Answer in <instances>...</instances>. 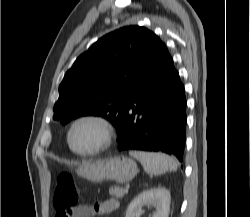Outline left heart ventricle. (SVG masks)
<instances>
[{"mask_svg":"<svg viewBox=\"0 0 250 217\" xmlns=\"http://www.w3.org/2000/svg\"><path fill=\"white\" fill-rule=\"evenodd\" d=\"M101 139L100 128L92 122H83L75 127L71 141L75 149L87 151L95 148Z\"/></svg>","mask_w":250,"mask_h":217,"instance_id":"left-heart-ventricle-1","label":"left heart ventricle"}]
</instances>
